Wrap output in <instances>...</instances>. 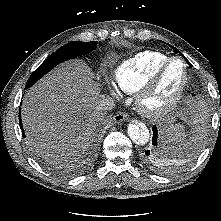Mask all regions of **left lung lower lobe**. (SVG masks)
<instances>
[{
    "mask_svg": "<svg viewBox=\"0 0 221 221\" xmlns=\"http://www.w3.org/2000/svg\"><path fill=\"white\" fill-rule=\"evenodd\" d=\"M152 130H153L152 145L156 148L158 133H157V128L155 125L153 126ZM144 158L146 159V161L151 162V159L153 158V156H152L150 150L145 151Z\"/></svg>",
    "mask_w": 221,
    "mask_h": 221,
    "instance_id": "0a47b994",
    "label": "left lung lower lobe"
}]
</instances>
